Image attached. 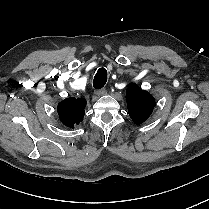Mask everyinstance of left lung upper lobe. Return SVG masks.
Wrapping results in <instances>:
<instances>
[{
    "label": "left lung upper lobe",
    "mask_w": 209,
    "mask_h": 209,
    "mask_svg": "<svg viewBox=\"0 0 209 209\" xmlns=\"http://www.w3.org/2000/svg\"><path fill=\"white\" fill-rule=\"evenodd\" d=\"M128 113L137 125L143 123L153 111L155 100L153 96L141 90L136 84H129L126 90Z\"/></svg>",
    "instance_id": "1"
}]
</instances>
